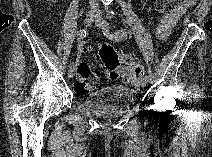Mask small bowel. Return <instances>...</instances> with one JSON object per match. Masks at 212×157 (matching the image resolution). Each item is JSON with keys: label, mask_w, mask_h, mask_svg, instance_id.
<instances>
[{"label": "small bowel", "mask_w": 212, "mask_h": 157, "mask_svg": "<svg viewBox=\"0 0 212 157\" xmlns=\"http://www.w3.org/2000/svg\"><path fill=\"white\" fill-rule=\"evenodd\" d=\"M192 4L193 1L185 0L184 2L177 4L174 10L162 19L158 28V35L160 39L164 40L169 36L178 19L183 15L186 8ZM93 50L94 47L92 46L83 43L78 45V51L80 54L90 53ZM79 66L82 68H89L88 64L85 62L81 63ZM131 82L136 86L138 84V79H134Z\"/></svg>", "instance_id": "c3829d8e"}]
</instances>
